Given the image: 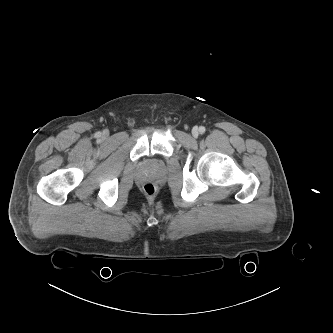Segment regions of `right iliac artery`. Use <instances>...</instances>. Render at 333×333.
Segmentation results:
<instances>
[{
  "instance_id": "82829eb1",
  "label": "right iliac artery",
  "mask_w": 333,
  "mask_h": 333,
  "mask_svg": "<svg viewBox=\"0 0 333 333\" xmlns=\"http://www.w3.org/2000/svg\"><path fill=\"white\" fill-rule=\"evenodd\" d=\"M101 135V133H97V136H100Z\"/></svg>"
}]
</instances>
